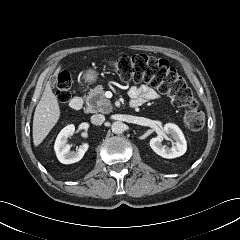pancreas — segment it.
<instances>
[{"label":"pancreas","mask_w":240,"mask_h":240,"mask_svg":"<svg viewBox=\"0 0 240 240\" xmlns=\"http://www.w3.org/2000/svg\"><path fill=\"white\" fill-rule=\"evenodd\" d=\"M105 91L101 85L96 86L88 92L85 97L86 112L88 113H109L112 110L111 101L105 98Z\"/></svg>","instance_id":"1"}]
</instances>
